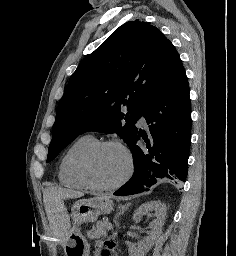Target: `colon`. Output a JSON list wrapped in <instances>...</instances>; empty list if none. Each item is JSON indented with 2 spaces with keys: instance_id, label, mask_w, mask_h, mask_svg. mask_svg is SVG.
I'll list each match as a JSON object with an SVG mask.
<instances>
[{
  "instance_id": "1",
  "label": "colon",
  "mask_w": 236,
  "mask_h": 256,
  "mask_svg": "<svg viewBox=\"0 0 236 256\" xmlns=\"http://www.w3.org/2000/svg\"><path fill=\"white\" fill-rule=\"evenodd\" d=\"M114 246H115L114 239L113 238L108 239L105 242V247L100 252V256H113Z\"/></svg>"
}]
</instances>
